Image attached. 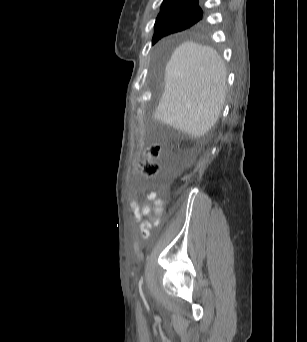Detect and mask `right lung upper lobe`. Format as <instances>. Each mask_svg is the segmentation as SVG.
Segmentation results:
<instances>
[{
  "label": "right lung upper lobe",
  "instance_id": "obj_1",
  "mask_svg": "<svg viewBox=\"0 0 307 342\" xmlns=\"http://www.w3.org/2000/svg\"><path fill=\"white\" fill-rule=\"evenodd\" d=\"M202 2L199 0H164L161 5V13L174 10H201ZM206 27V16L203 15L199 21L186 28L190 32H201Z\"/></svg>",
  "mask_w": 307,
  "mask_h": 342
}]
</instances>
